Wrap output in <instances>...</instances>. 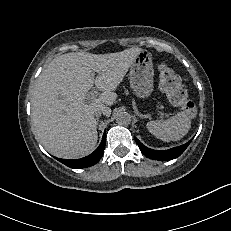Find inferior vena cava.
<instances>
[{"mask_svg":"<svg viewBox=\"0 0 231 231\" xmlns=\"http://www.w3.org/2000/svg\"><path fill=\"white\" fill-rule=\"evenodd\" d=\"M105 113V107H102L100 109H97L95 112H94V115L97 116V115H101V114H104Z\"/></svg>","mask_w":231,"mask_h":231,"instance_id":"inferior-vena-cava-1","label":"inferior vena cava"}]
</instances>
